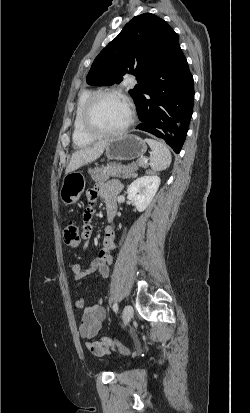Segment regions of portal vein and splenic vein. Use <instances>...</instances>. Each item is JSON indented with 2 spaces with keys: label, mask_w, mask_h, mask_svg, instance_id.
<instances>
[{
  "label": "portal vein and splenic vein",
  "mask_w": 250,
  "mask_h": 413,
  "mask_svg": "<svg viewBox=\"0 0 250 413\" xmlns=\"http://www.w3.org/2000/svg\"><path fill=\"white\" fill-rule=\"evenodd\" d=\"M143 162H145V163H146V162H147V159H143Z\"/></svg>",
  "instance_id": "obj_1"
}]
</instances>
